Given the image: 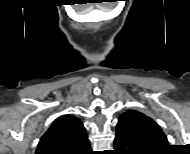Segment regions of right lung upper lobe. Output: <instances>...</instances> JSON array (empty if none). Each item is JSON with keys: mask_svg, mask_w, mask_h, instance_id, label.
<instances>
[{"mask_svg": "<svg viewBox=\"0 0 190 154\" xmlns=\"http://www.w3.org/2000/svg\"><path fill=\"white\" fill-rule=\"evenodd\" d=\"M90 151L82 122L73 115H63L42 136L35 154H88Z\"/></svg>", "mask_w": 190, "mask_h": 154, "instance_id": "obj_1", "label": "right lung upper lobe"}]
</instances>
